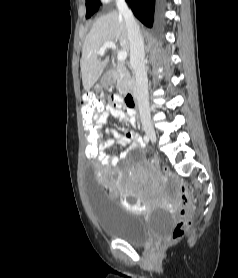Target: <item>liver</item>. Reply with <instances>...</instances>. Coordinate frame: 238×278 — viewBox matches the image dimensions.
Listing matches in <instances>:
<instances>
[{
	"label": "liver",
	"instance_id": "liver-1",
	"mask_svg": "<svg viewBox=\"0 0 238 278\" xmlns=\"http://www.w3.org/2000/svg\"><path fill=\"white\" fill-rule=\"evenodd\" d=\"M105 42H119L122 51L130 49L124 17L117 11L99 17L85 38L80 61L85 91L93 87L108 65L109 57L102 62L98 60V51Z\"/></svg>",
	"mask_w": 238,
	"mask_h": 278
}]
</instances>
